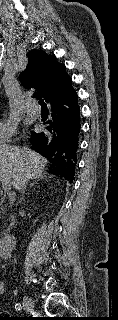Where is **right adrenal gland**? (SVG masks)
Segmentation results:
<instances>
[{
	"label": "right adrenal gland",
	"mask_w": 118,
	"mask_h": 320,
	"mask_svg": "<svg viewBox=\"0 0 118 320\" xmlns=\"http://www.w3.org/2000/svg\"><path fill=\"white\" fill-rule=\"evenodd\" d=\"M44 177H46V173L41 174L35 181H33V183L30 184V188H32L39 180L44 179Z\"/></svg>",
	"instance_id": "1"
}]
</instances>
